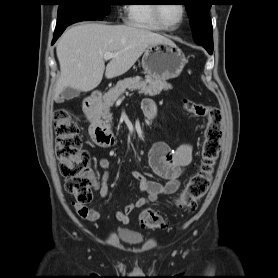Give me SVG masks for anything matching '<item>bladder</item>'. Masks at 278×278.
<instances>
[{
  "label": "bladder",
  "instance_id": "1",
  "mask_svg": "<svg viewBox=\"0 0 278 278\" xmlns=\"http://www.w3.org/2000/svg\"><path fill=\"white\" fill-rule=\"evenodd\" d=\"M118 237L127 244H138L143 240L140 235L125 230L118 231Z\"/></svg>",
  "mask_w": 278,
  "mask_h": 278
}]
</instances>
